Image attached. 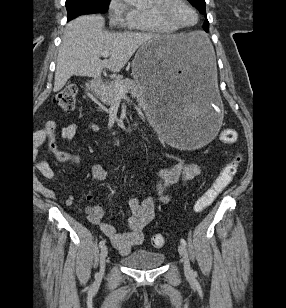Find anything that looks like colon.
<instances>
[{
    "label": "colon",
    "mask_w": 286,
    "mask_h": 308,
    "mask_svg": "<svg viewBox=\"0 0 286 308\" xmlns=\"http://www.w3.org/2000/svg\"><path fill=\"white\" fill-rule=\"evenodd\" d=\"M77 92L78 89L75 85L64 87L55 95L54 105L66 112L72 111L75 107ZM220 140L226 144H234L238 140V133L233 128L223 129L220 133ZM240 161L241 157L236 155L222 167L210 187L196 201L194 205L196 212H201L211 205L218 195L231 184L237 174ZM151 243L154 247L161 248L165 244V239L162 235L157 234L152 236Z\"/></svg>",
    "instance_id": "obj_1"
}]
</instances>
